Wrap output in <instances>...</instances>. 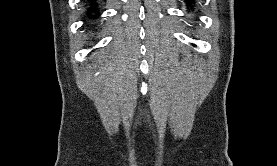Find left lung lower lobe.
Masks as SVG:
<instances>
[{"label":"left lung lower lobe","mask_w":277,"mask_h":166,"mask_svg":"<svg viewBox=\"0 0 277 166\" xmlns=\"http://www.w3.org/2000/svg\"><path fill=\"white\" fill-rule=\"evenodd\" d=\"M187 1V7H188V10L189 12H192L193 11V4L190 0H186Z\"/></svg>","instance_id":"0a47b994"}]
</instances>
